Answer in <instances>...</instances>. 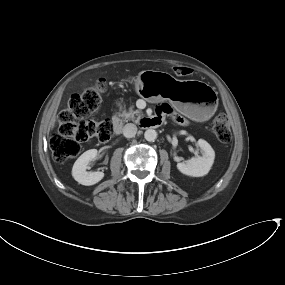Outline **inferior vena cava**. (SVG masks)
I'll return each instance as SVG.
<instances>
[{
	"instance_id": "inferior-vena-cava-1",
	"label": "inferior vena cava",
	"mask_w": 285,
	"mask_h": 285,
	"mask_svg": "<svg viewBox=\"0 0 285 285\" xmlns=\"http://www.w3.org/2000/svg\"><path fill=\"white\" fill-rule=\"evenodd\" d=\"M137 133V127L135 124L128 123L123 127V135L126 138H132L136 135Z\"/></svg>"
}]
</instances>
